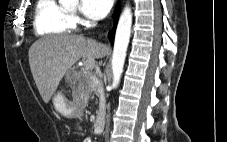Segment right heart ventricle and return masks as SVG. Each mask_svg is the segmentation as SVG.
<instances>
[{
  "label": "right heart ventricle",
  "instance_id": "e07e8e85",
  "mask_svg": "<svg viewBox=\"0 0 227 142\" xmlns=\"http://www.w3.org/2000/svg\"><path fill=\"white\" fill-rule=\"evenodd\" d=\"M33 26L39 36L62 35L74 28V20L57 0H37Z\"/></svg>",
  "mask_w": 227,
  "mask_h": 142
}]
</instances>
